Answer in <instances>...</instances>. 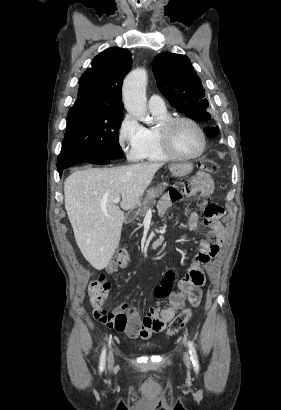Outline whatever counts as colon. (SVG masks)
I'll use <instances>...</instances> for the list:
<instances>
[{
	"mask_svg": "<svg viewBox=\"0 0 281 410\" xmlns=\"http://www.w3.org/2000/svg\"><path fill=\"white\" fill-rule=\"evenodd\" d=\"M200 169L206 173H216L219 169L218 165L209 159L203 160L200 163ZM191 188L188 185L174 187L169 192L171 201H179L183 196L190 192ZM199 205L204 208L207 216H221L223 215V208L215 203H212L210 197L201 195L199 198ZM130 262L129 254L126 250H121L118 253L116 264L124 268ZM110 283L106 280L104 275L99 276L89 284L88 292L92 306L94 307L95 317L103 324L116 331L124 330L128 326V317L123 314H116L109 312L104 308L105 301L108 298L110 291ZM191 317V310L185 309L177 315L169 324L167 333L173 335L179 332Z\"/></svg>",
	"mask_w": 281,
	"mask_h": 410,
	"instance_id": "5ec220e1",
	"label": "colon"
}]
</instances>
